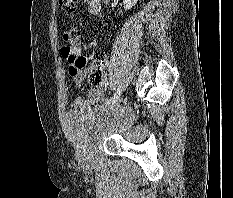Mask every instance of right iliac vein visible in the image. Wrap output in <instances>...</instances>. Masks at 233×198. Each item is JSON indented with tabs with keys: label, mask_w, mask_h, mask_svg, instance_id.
<instances>
[{
	"label": "right iliac vein",
	"mask_w": 233,
	"mask_h": 198,
	"mask_svg": "<svg viewBox=\"0 0 233 198\" xmlns=\"http://www.w3.org/2000/svg\"><path fill=\"white\" fill-rule=\"evenodd\" d=\"M118 106H119V101H116V102H114L109 108H110L111 110H115V109L118 108Z\"/></svg>",
	"instance_id": "63e3f726"
}]
</instances>
